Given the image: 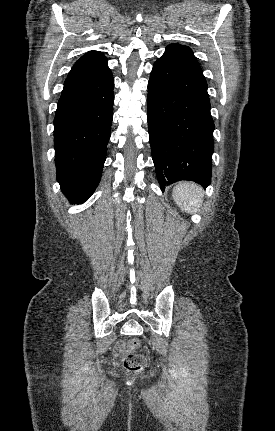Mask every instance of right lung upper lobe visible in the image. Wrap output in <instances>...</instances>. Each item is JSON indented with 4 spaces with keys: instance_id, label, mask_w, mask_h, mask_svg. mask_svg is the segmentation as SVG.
<instances>
[{
    "instance_id": "1",
    "label": "right lung upper lobe",
    "mask_w": 275,
    "mask_h": 431,
    "mask_svg": "<svg viewBox=\"0 0 275 431\" xmlns=\"http://www.w3.org/2000/svg\"><path fill=\"white\" fill-rule=\"evenodd\" d=\"M107 59L99 51H89L72 67L64 84L78 82L108 70Z\"/></svg>"
}]
</instances>
